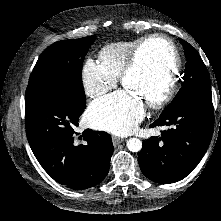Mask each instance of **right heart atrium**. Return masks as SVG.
<instances>
[{"instance_id":"right-heart-atrium-1","label":"right heart atrium","mask_w":221,"mask_h":221,"mask_svg":"<svg viewBox=\"0 0 221 221\" xmlns=\"http://www.w3.org/2000/svg\"><path fill=\"white\" fill-rule=\"evenodd\" d=\"M82 79L86 94L98 98L115 85L116 80L108 77L93 61H87L82 69Z\"/></svg>"}]
</instances>
